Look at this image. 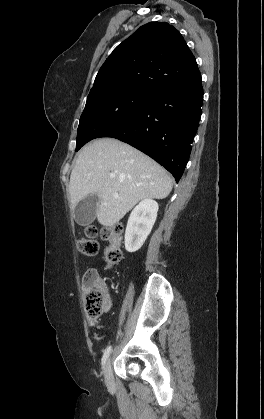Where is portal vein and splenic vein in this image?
<instances>
[{
    "mask_svg": "<svg viewBox=\"0 0 264 419\" xmlns=\"http://www.w3.org/2000/svg\"><path fill=\"white\" fill-rule=\"evenodd\" d=\"M110 176H111L112 178H114V177H115V175H114V174H111Z\"/></svg>",
    "mask_w": 264,
    "mask_h": 419,
    "instance_id": "18ae733b",
    "label": "portal vein and splenic vein"
}]
</instances>
